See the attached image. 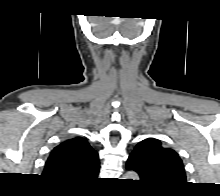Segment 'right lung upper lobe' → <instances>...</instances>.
Listing matches in <instances>:
<instances>
[{
  "label": "right lung upper lobe",
  "mask_w": 220,
  "mask_h": 196,
  "mask_svg": "<svg viewBox=\"0 0 220 196\" xmlns=\"http://www.w3.org/2000/svg\"><path fill=\"white\" fill-rule=\"evenodd\" d=\"M98 154L86 139L75 137L51 152L43 176L56 183L82 185L97 177Z\"/></svg>",
  "instance_id": "right-lung-upper-lobe-1"
}]
</instances>
